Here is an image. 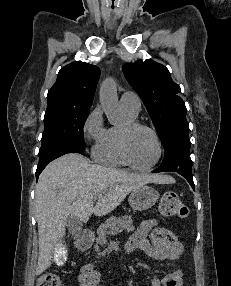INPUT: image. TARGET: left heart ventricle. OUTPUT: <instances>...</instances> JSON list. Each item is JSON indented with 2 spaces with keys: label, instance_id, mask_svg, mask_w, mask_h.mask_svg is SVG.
Instances as JSON below:
<instances>
[{
  "label": "left heart ventricle",
  "instance_id": "b2bd125f",
  "mask_svg": "<svg viewBox=\"0 0 231 286\" xmlns=\"http://www.w3.org/2000/svg\"><path fill=\"white\" fill-rule=\"evenodd\" d=\"M128 146L133 161L139 166H147L156 159L157 145L155 139L145 129L132 132L129 136Z\"/></svg>",
  "mask_w": 231,
  "mask_h": 286
}]
</instances>
